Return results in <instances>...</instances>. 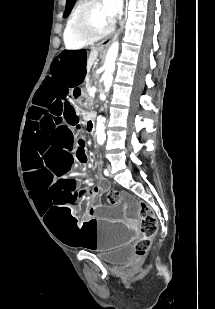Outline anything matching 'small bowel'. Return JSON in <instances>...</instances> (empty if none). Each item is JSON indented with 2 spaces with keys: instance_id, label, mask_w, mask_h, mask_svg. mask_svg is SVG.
I'll list each match as a JSON object with an SVG mask.
<instances>
[{
  "instance_id": "1",
  "label": "small bowel",
  "mask_w": 215,
  "mask_h": 309,
  "mask_svg": "<svg viewBox=\"0 0 215 309\" xmlns=\"http://www.w3.org/2000/svg\"><path fill=\"white\" fill-rule=\"evenodd\" d=\"M102 193H103V188L101 186H96L91 190V195L95 202L100 201Z\"/></svg>"
}]
</instances>
